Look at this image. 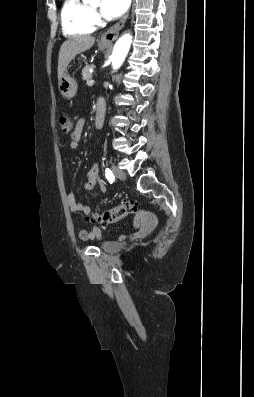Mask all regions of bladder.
<instances>
[{"label": "bladder", "instance_id": "bladder-1", "mask_svg": "<svg viewBox=\"0 0 254 397\" xmlns=\"http://www.w3.org/2000/svg\"><path fill=\"white\" fill-rule=\"evenodd\" d=\"M100 248L106 253H115L121 249V244L114 241H105L100 244Z\"/></svg>", "mask_w": 254, "mask_h": 397}]
</instances>
